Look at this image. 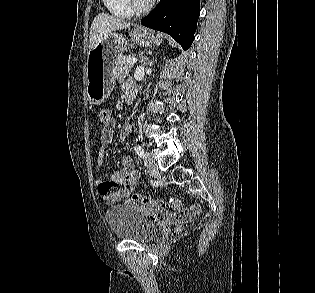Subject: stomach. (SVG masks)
I'll list each match as a JSON object with an SVG mask.
<instances>
[{
  "label": "stomach",
  "mask_w": 315,
  "mask_h": 293,
  "mask_svg": "<svg viewBox=\"0 0 315 293\" xmlns=\"http://www.w3.org/2000/svg\"><path fill=\"white\" fill-rule=\"evenodd\" d=\"M131 40L141 46L160 45L162 38L149 30L137 27L130 33ZM128 45L123 35L112 33L90 49L87 58V98L92 104L102 103L112 92L118 60Z\"/></svg>",
  "instance_id": "0dacf381"
}]
</instances>
